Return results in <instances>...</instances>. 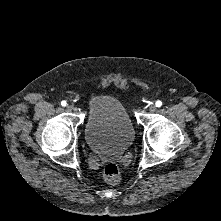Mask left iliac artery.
Here are the masks:
<instances>
[{"label": "left iliac artery", "instance_id": "left-iliac-artery-1", "mask_svg": "<svg viewBox=\"0 0 221 221\" xmlns=\"http://www.w3.org/2000/svg\"><path fill=\"white\" fill-rule=\"evenodd\" d=\"M155 104H156L157 107H160L162 105V102L160 100H158V101H156Z\"/></svg>", "mask_w": 221, "mask_h": 221}]
</instances>
